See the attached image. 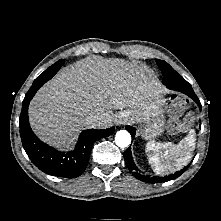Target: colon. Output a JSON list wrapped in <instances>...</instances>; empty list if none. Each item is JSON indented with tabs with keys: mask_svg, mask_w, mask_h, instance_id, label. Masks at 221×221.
<instances>
[{
	"mask_svg": "<svg viewBox=\"0 0 221 221\" xmlns=\"http://www.w3.org/2000/svg\"><path fill=\"white\" fill-rule=\"evenodd\" d=\"M187 107L188 103L182 98H175L172 101L170 108L171 117L168 126L170 132L177 133L187 126L189 121L184 116Z\"/></svg>",
	"mask_w": 221,
	"mask_h": 221,
	"instance_id": "5ec220e1",
	"label": "colon"
}]
</instances>
